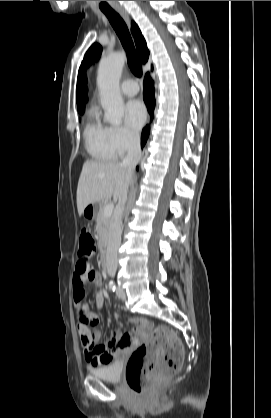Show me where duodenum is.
Here are the masks:
<instances>
[{
    "label": "duodenum",
    "mask_w": 271,
    "mask_h": 418,
    "mask_svg": "<svg viewBox=\"0 0 271 418\" xmlns=\"http://www.w3.org/2000/svg\"><path fill=\"white\" fill-rule=\"evenodd\" d=\"M101 263L103 270L106 271L108 269V257L106 252H104L102 255Z\"/></svg>",
    "instance_id": "410a0bca"
}]
</instances>
